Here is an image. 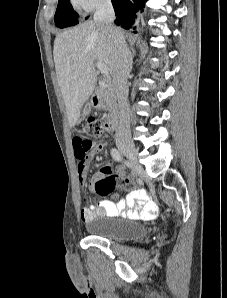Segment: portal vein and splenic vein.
I'll return each instance as SVG.
<instances>
[{"label": "portal vein and splenic vein", "instance_id": "18ae733b", "mask_svg": "<svg viewBox=\"0 0 227 298\" xmlns=\"http://www.w3.org/2000/svg\"><path fill=\"white\" fill-rule=\"evenodd\" d=\"M96 67L98 68V70L100 71L101 74H103L104 76H107L109 71L108 68L106 67V65L100 63V62H96Z\"/></svg>", "mask_w": 227, "mask_h": 298}]
</instances>
